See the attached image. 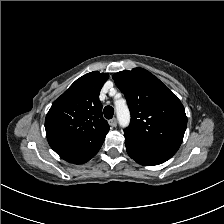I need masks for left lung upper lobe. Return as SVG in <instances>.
Here are the masks:
<instances>
[{"label": "left lung upper lobe", "instance_id": "obj_1", "mask_svg": "<svg viewBox=\"0 0 224 224\" xmlns=\"http://www.w3.org/2000/svg\"><path fill=\"white\" fill-rule=\"evenodd\" d=\"M131 112L124 136L176 153L187 127L180 100L157 77L143 68L113 75Z\"/></svg>", "mask_w": 224, "mask_h": 224}]
</instances>
